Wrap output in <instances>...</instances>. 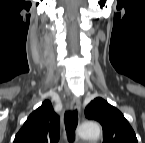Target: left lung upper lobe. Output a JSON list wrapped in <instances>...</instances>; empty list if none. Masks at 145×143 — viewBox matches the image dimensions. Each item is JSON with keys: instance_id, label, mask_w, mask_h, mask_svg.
Returning a JSON list of instances; mask_svg holds the SVG:
<instances>
[{"instance_id": "left-lung-upper-lobe-1", "label": "left lung upper lobe", "mask_w": 145, "mask_h": 143, "mask_svg": "<svg viewBox=\"0 0 145 143\" xmlns=\"http://www.w3.org/2000/svg\"><path fill=\"white\" fill-rule=\"evenodd\" d=\"M85 116L103 127V143H137L136 135L123 114L104 99L97 97L86 107Z\"/></svg>"}]
</instances>
